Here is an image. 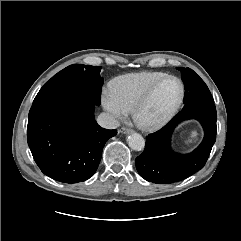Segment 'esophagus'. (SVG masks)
I'll return each instance as SVG.
<instances>
[{
	"instance_id": "1",
	"label": "esophagus",
	"mask_w": 241,
	"mask_h": 241,
	"mask_svg": "<svg viewBox=\"0 0 241 241\" xmlns=\"http://www.w3.org/2000/svg\"><path fill=\"white\" fill-rule=\"evenodd\" d=\"M119 132L122 133V134H129V133L132 132V130L130 128H127V127H122V128H120Z\"/></svg>"
}]
</instances>
